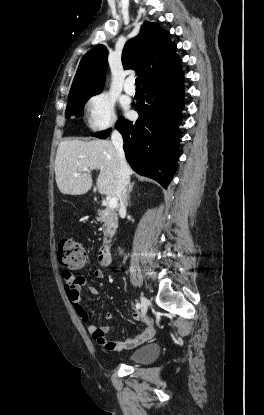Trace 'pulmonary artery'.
<instances>
[{"label":"pulmonary artery","mask_w":264,"mask_h":415,"mask_svg":"<svg viewBox=\"0 0 264 415\" xmlns=\"http://www.w3.org/2000/svg\"><path fill=\"white\" fill-rule=\"evenodd\" d=\"M124 91L128 95H134L136 92L135 86H134V78L132 76H129L124 83Z\"/></svg>","instance_id":"1"}]
</instances>
